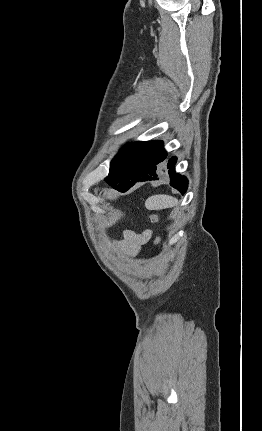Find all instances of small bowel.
<instances>
[{
	"label": "small bowel",
	"mask_w": 262,
	"mask_h": 431,
	"mask_svg": "<svg viewBox=\"0 0 262 431\" xmlns=\"http://www.w3.org/2000/svg\"><path fill=\"white\" fill-rule=\"evenodd\" d=\"M125 245L129 248L131 254L134 256L137 254L139 248L148 241L149 234L147 232L143 234H134L132 232H125Z\"/></svg>",
	"instance_id": "1"
}]
</instances>
